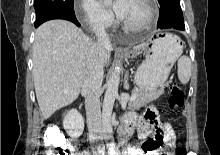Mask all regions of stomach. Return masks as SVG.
<instances>
[{"instance_id":"1","label":"stomach","mask_w":220,"mask_h":155,"mask_svg":"<svg viewBox=\"0 0 220 155\" xmlns=\"http://www.w3.org/2000/svg\"><path fill=\"white\" fill-rule=\"evenodd\" d=\"M149 43L143 48L146 59L138 67L134 81L143 92L151 94L163 88L182 46L181 39L173 34L158 36ZM124 57L131 58V53Z\"/></svg>"}]
</instances>
